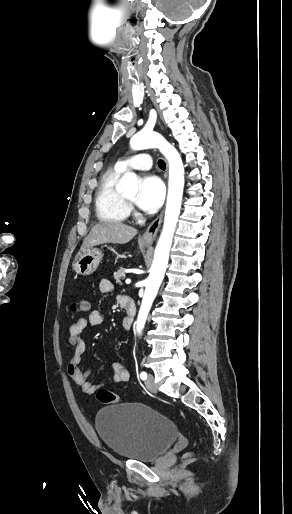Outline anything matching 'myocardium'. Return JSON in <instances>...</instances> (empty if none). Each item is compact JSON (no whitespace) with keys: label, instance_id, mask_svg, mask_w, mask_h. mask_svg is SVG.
Returning a JSON list of instances; mask_svg holds the SVG:
<instances>
[{"label":"myocardium","instance_id":"1","mask_svg":"<svg viewBox=\"0 0 292 514\" xmlns=\"http://www.w3.org/2000/svg\"><path fill=\"white\" fill-rule=\"evenodd\" d=\"M119 198L128 211L134 210V202L133 201L128 200L122 193H119Z\"/></svg>","mask_w":292,"mask_h":514}]
</instances>
